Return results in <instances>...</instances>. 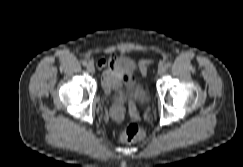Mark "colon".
Returning <instances> with one entry per match:
<instances>
[{
    "label": "colon",
    "mask_w": 243,
    "mask_h": 167,
    "mask_svg": "<svg viewBox=\"0 0 243 167\" xmlns=\"http://www.w3.org/2000/svg\"><path fill=\"white\" fill-rule=\"evenodd\" d=\"M150 60L144 59L139 61L138 66L140 70L144 73L146 68L150 64ZM123 82L127 85L128 88L135 82V76L133 75H125L122 78ZM130 99L133 101V96L130 94ZM144 137L143 130L136 124L128 125L124 132L121 135V140L126 143H134L141 140Z\"/></svg>",
    "instance_id": "5ec220e1"
}]
</instances>
